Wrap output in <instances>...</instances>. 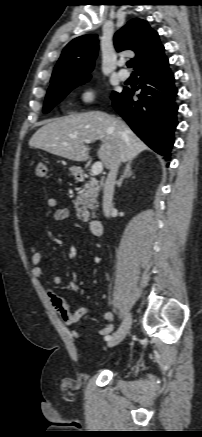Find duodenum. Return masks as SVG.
<instances>
[{
	"instance_id": "1",
	"label": "duodenum",
	"mask_w": 202,
	"mask_h": 437,
	"mask_svg": "<svg viewBox=\"0 0 202 437\" xmlns=\"http://www.w3.org/2000/svg\"><path fill=\"white\" fill-rule=\"evenodd\" d=\"M77 178L81 181L84 180L85 178L84 173L82 171H79L77 173ZM88 226L90 232L93 235L99 236L102 233L103 226H102V222L99 219H91L88 223Z\"/></svg>"
}]
</instances>
